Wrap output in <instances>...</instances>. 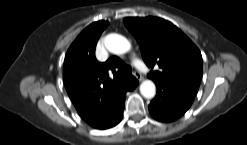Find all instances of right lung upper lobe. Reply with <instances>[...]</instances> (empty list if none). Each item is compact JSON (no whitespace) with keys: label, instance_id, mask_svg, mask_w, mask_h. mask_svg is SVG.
Masks as SVG:
<instances>
[{"label":"right lung upper lobe","instance_id":"cb5924a9","mask_svg":"<svg viewBox=\"0 0 247 145\" xmlns=\"http://www.w3.org/2000/svg\"><path fill=\"white\" fill-rule=\"evenodd\" d=\"M108 26L98 21L86 27L69 47L63 67L67 93L78 113L89 125L114 114L120 104L122 91L133 76L117 77L120 64L117 57L100 63L95 58L97 41ZM113 73L114 78L109 77Z\"/></svg>","mask_w":247,"mask_h":145}]
</instances>
